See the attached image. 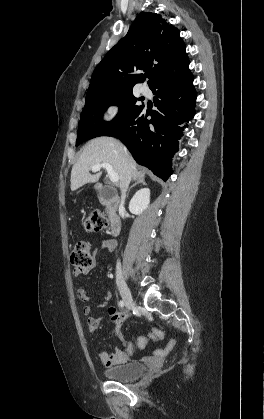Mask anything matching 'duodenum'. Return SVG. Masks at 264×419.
Instances as JSON below:
<instances>
[{
  "label": "duodenum",
  "mask_w": 264,
  "mask_h": 419,
  "mask_svg": "<svg viewBox=\"0 0 264 419\" xmlns=\"http://www.w3.org/2000/svg\"><path fill=\"white\" fill-rule=\"evenodd\" d=\"M98 196L110 208V234L116 236L121 230L122 220L118 213L119 197L112 192H106L102 187L98 188Z\"/></svg>",
  "instance_id": "1"
}]
</instances>
